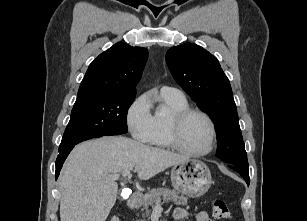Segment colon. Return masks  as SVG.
<instances>
[{
    "instance_id": "1",
    "label": "colon",
    "mask_w": 307,
    "mask_h": 221,
    "mask_svg": "<svg viewBox=\"0 0 307 221\" xmlns=\"http://www.w3.org/2000/svg\"><path fill=\"white\" fill-rule=\"evenodd\" d=\"M211 208L214 217L217 219L228 220L232 217L229 207L221 199H213L211 201ZM109 221H120V218L114 215L109 219Z\"/></svg>"
}]
</instances>
